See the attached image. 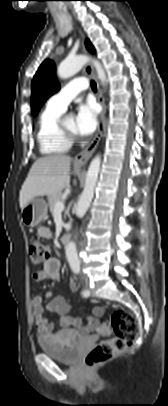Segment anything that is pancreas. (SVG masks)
<instances>
[{
    "label": "pancreas",
    "instance_id": "obj_1",
    "mask_svg": "<svg viewBox=\"0 0 168 406\" xmlns=\"http://www.w3.org/2000/svg\"><path fill=\"white\" fill-rule=\"evenodd\" d=\"M63 200V195L62 193H59L55 196L49 197L48 201H49V208H50V212H54L55 211V204L59 201Z\"/></svg>",
    "mask_w": 168,
    "mask_h": 406
}]
</instances>
